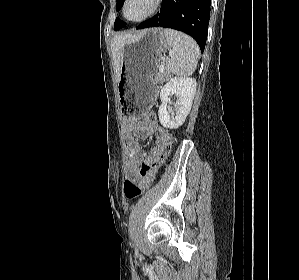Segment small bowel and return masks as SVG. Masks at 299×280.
Instances as JSON below:
<instances>
[{"label":"small bowel","instance_id":"1","mask_svg":"<svg viewBox=\"0 0 299 280\" xmlns=\"http://www.w3.org/2000/svg\"><path fill=\"white\" fill-rule=\"evenodd\" d=\"M131 134L138 138H145L148 135L155 134L156 140L152 145L150 154L144 158L143 148L141 144L132 139ZM128 159L124 167L125 175L127 179L139 180V167L141 163L149 162L156 159L163 146L172 139L171 134L167 129L162 127L156 119L151 122H129L128 129Z\"/></svg>","mask_w":299,"mask_h":280}]
</instances>
